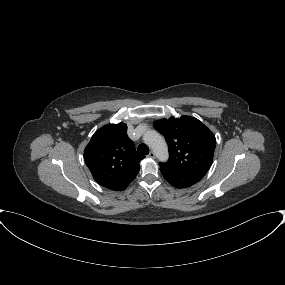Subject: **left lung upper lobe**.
<instances>
[{
	"label": "left lung upper lobe",
	"mask_w": 285,
	"mask_h": 285,
	"mask_svg": "<svg viewBox=\"0 0 285 285\" xmlns=\"http://www.w3.org/2000/svg\"><path fill=\"white\" fill-rule=\"evenodd\" d=\"M154 127L165 137L169 148V160L160 163V167L185 175L207 173L216 139L202 122L190 116L171 117L154 122Z\"/></svg>",
	"instance_id": "5c2ea615"
}]
</instances>
